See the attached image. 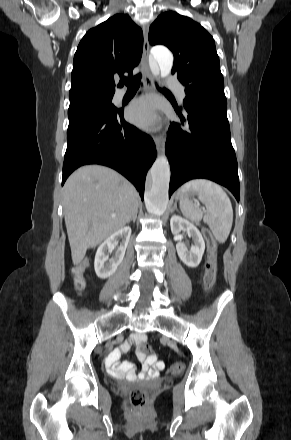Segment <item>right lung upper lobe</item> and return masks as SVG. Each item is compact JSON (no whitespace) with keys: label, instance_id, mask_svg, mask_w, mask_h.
<instances>
[{"label":"right lung upper lobe","instance_id":"right-lung-upper-lobe-1","mask_svg":"<svg viewBox=\"0 0 291 440\" xmlns=\"http://www.w3.org/2000/svg\"><path fill=\"white\" fill-rule=\"evenodd\" d=\"M142 49V30L127 14H116L90 29L74 55L70 101L114 95L115 81L124 74L133 75ZM122 86L119 82L118 87Z\"/></svg>","mask_w":291,"mask_h":440}]
</instances>
